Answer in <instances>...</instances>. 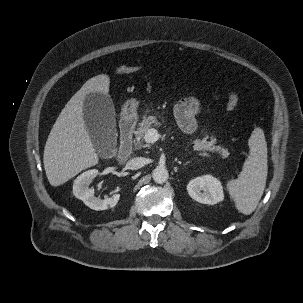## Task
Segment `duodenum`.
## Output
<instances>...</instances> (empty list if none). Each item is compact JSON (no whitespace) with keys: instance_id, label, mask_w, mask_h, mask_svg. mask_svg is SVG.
Listing matches in <instances>:
<instances>
[{"instance_id":"duodenum-1","label":"duodenum","mask_w":303,"mask_h":303,"mask_svg":"<svg viewBox=\"0 0 303 303\" xmlns=\"http://www.w3.org/2000/svg\"><path fill=\"white\" fill-rule=\"evenodd\" d=\"M136 121L132 116H126L120 123V146L117 153L119 161H126L132 154L133 148V131Z\"/></svg>"}]
</instances>
